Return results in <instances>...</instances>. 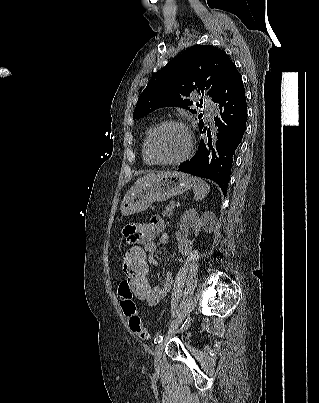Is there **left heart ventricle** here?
Wrapping results in <instances>:
<instances>
[{"label": "left heart ventricle", "instance_id": "left-heart-ventricle-1", "mask_svg": "<svg viewBox=\"0 0 319 403\" xmlns=\"http://www.w3.org/2000/svg\"><path fill=\"white\" fill-rule=\"evenodd\" d=\"M188 139L185 131L175 125L162 128L153 140V154L161 160L179 158L187 149Z\"/></svg>", "mask_w": 319, "mask_h": 403}]
</instances>
